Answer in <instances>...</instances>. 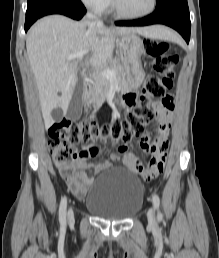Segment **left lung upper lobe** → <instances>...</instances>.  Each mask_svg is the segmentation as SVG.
<instances>
[{
  "label": "left lung upper lobe",
  "instance_id": "5c2ea615",
  "mask_svg": "<svg viewBox=\"0 0 219 258\" xmlns=\"http://www.w3.org/2000/svg\"><path fill=\"white\" fill-rule=\"evenodd\" d=\"M169 1H175V0H156V8L162 6L163 4H165ZM179 1H185V0H179Z\"/></svg>",
  "mask_w": 219,
  "mask_h": 258
}]
</instances>
